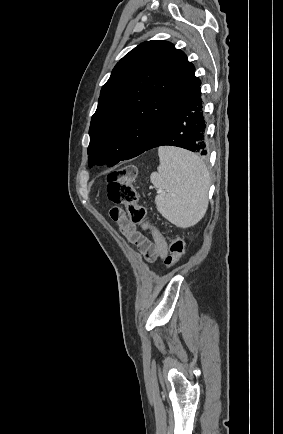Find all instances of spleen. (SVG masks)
Wrapping results in <instances>:
<instances>
[{"label": "spleen", "mask_w": 283, "mask_h": 434, "mask_svg": "<svg viewBox=\"0 0 283 434\" xmlns=\"http://www.w3.org/2000/svg\"><path fill=\"white\" fill-rule=\"evenodd\" d=\"M160 164L150 175L157 188V210L172 224L188 228L197 224L208 208L210 176L196 154L175 147L158 149Z\"/></svg>", "instance_id": "spleen-1"}]
</instances>
